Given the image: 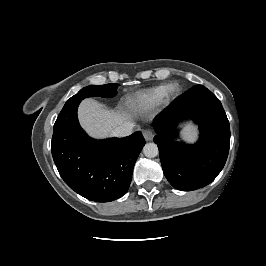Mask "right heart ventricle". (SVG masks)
<instances>
[{
    "label": "right heart ventricle",
    "mask_w": 266,
    "mask_h": 266,
    "mask_svg": "<svg viewBox=\"0 0 266 266\" xmlns=\"http://www.w3.org/2000/svg\"><path fill=\"white\" fill-rule=\"evenodd\" d=\"M166 86L156 87L135 96L132 105L136 108L148 109L159 105L166 96Z\"/></svg>",
    "instance_id": "1"
}]
</instances>
